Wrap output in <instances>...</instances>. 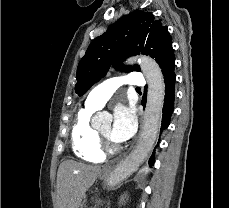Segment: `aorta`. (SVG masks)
<instances>
[{"instance_id": "obj_1", "label": "aorta", "mask_w": 229, "mask_h": 208, "mask_svg": "<svg viewBox=\"0 0 229 208\" xmlns=\"http://www.w3.org/2000/svg\"><path fill=\"white\" fill-rule=\"evenodd\" d=\"M136 61L141 67L148 87L142 132L135 149L110 174L108 187L116 186L139 168L152 150L159 131L165 95L163 74L159 65L150 57L140 56L129 59L130 64ZM110 120L111 115L107 112H100L93 118L95 124Z\"/></svg>"}]
</instances>
